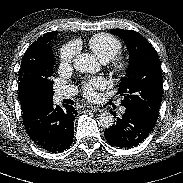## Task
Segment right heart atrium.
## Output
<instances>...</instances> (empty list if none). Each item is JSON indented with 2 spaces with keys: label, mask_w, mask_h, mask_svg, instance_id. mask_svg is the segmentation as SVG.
I'll return each instance as SVG.
<instances>
[{
  "label": "right heart atrium",
  "mask_w": 183,
  "mask_h": 183,
  "mask_svg": "<svg viewBox=\"0 0 183 183\" xmlns=\"http://www.w3.org/2000/svg\"><path fill=\"white\" fill-rule=\"evenodd\" d=\"M77 53V46L75 43H67L60 50V65L69 66Z\"/></svg>",
  "instance_id": "1"
}]
</instances>
